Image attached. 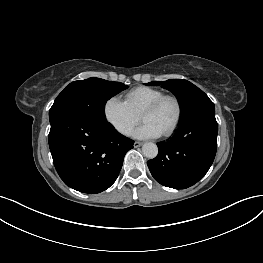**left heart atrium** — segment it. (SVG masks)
<instances>
[{"label":"left heart atrium","mask_w":263,"mask_h":263,"mask_svg":"<svg viewBox=\"0 0 263 263\" xmlns=\"http://www.w3.org/2000/svg\"><path fill=\"white\" fill-rule=\"evenodd\" d=\"M132 135L139 139L157 138L162 135V131L152 122L144 121L132 132Z\"/></svg>","instance_id":"obj_1"}]
</instances>
